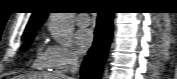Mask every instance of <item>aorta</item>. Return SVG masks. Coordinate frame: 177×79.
<instances>
[{
  "mask_svg": "<svg viewBox=\"0 0 177 79\" xmlns=\"http://www.w3.org/2000/svg\"><path fill=\"white\" fill-rule=\"evenodd\" d=\"M72 13H51L49 30L55 42L63 46H69L74 30Z\"/></svg>",
  "mask_w": 177,
  "mask_h": 79,
  "instance_id": "obj_1",
  "label": "aorta"
}]
</instances>
